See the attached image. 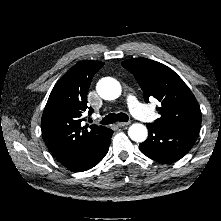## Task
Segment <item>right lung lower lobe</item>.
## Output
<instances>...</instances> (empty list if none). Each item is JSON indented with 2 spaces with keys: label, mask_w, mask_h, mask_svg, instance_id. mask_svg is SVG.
Returning a JSON list of instances; mask_svg holds the SVG:
<instances>
[{
  "label": "right lung lower lobe",
  "mask_w": 221,
  "mask_h": 221,
  "mask_svg": "<svg viewBox=\"0 0 221 221\" xmlns=\"http://www.w3.org/2000/svg\"><path fill=\"white\" fill-rule=\"evenodd\" d=\"M113 131L109 129L105 137L93 146L91 149L82 153L73 160H70L63 164L65 167L72 171L82 172L86 171L95 165H97L106 155L111 142Z\"/></svg>",
  "instance_id": "right-lung-lower-lobe-1"
}]
</instances>
